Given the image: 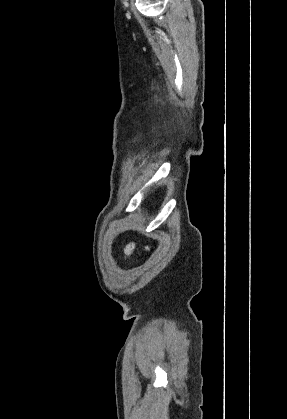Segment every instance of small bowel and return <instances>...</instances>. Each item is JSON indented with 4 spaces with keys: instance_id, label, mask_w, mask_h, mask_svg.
I'll return each mask as SVG.
<instances>
[{
    "instance_id": "small-bowel-1",
    "label": "small bowel",
    "mask_w": 287,
    "mask_h": 419,
    "mask_svg": "<svg viewBox=\"0 0 287 419\" xmlns=\"http://www.w3.org/2000/svg\"><path fill=\"white\" fill-rule=\"evenodd\" d=\"M131 250H132V246H128V247L126 248V253H127V254H129V253L131 252Z\"/></svg>"
}]
</instances>
